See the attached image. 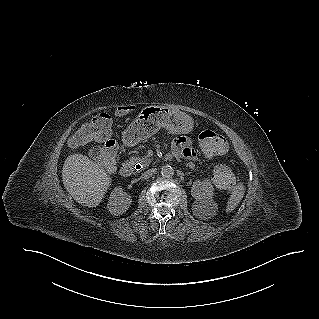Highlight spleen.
<instances>
[{
	"instance_id": "obj_1",
	"label": "spleen",
	"mask_w": 319,
	"mask_h": 319,
	"mask_svg": "<svg viewBox=\"0 0 319 319\" xmlns=\"http://www.w3.org/2000/svg\"><path fill=\"white\" fill-rule=\"evenodd\" d=\"M245 193V187L243 183H239L236 187L232 190L230 198L227 202L226 213L232 212L242 200Z\"/></svg>"
}]
</instances>
